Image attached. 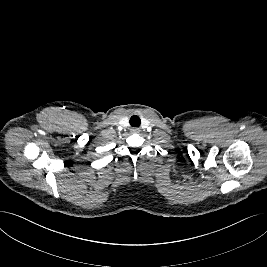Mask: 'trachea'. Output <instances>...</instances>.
<instances>
[{"label":"trachea","instance_id":"obj_1","mask_svg":"<svg viewBox=\"0 0 267 267\" xmlns=\"http://www.w3.org/2000/svg\"><path fill=\"white\" fill-rule=\"evenodd\" d=\"M140 123H141V120L138 116L134 115L130 118L131 126L139 127Z\"/></svg>","mask_w":267,"mask_h":267}]
</instances>
